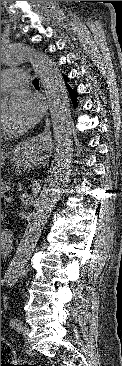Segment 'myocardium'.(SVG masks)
Masks as SVG:
<instances>
[{
  "label": "myocardium",
  "mask_w": 122,
  "mask_h": 366,
  "mask_svg": "<svg viewBox=\"0 0 122 366\" xmlns=\"http://www.w3.org/2000/svg\"><path fill=\"white\" fill-rule=\"evenodd\" d=\"M8 136H9V134H8L7 132H5V131L1 130V139H2V138H6V137H8Z\"/></svg>",
  "instance_id": "myocardium-1"
}]
</instances>
